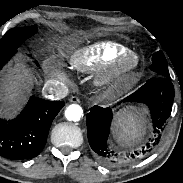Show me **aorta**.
Returning <instances> with one entry per match:
<instances>
[{"instance_id": "762f6f07", "label": "aorta", "mask_w": 183, "mask_h": 183, "mask_svg": "<svg viewBox=\"0 0 183 183\" xmlns=\"http://www.w3.org/2000/svg\"><path fill=\"white\" fill-rule=\"evenodd\" d=\"M83 116V109L81 108V106L76 105V104H72L70 106H68V108L65 110V117L69 120V121H79Z\"/></svg>"}]
</instances>
